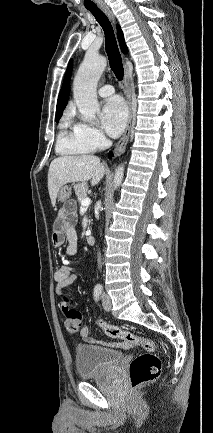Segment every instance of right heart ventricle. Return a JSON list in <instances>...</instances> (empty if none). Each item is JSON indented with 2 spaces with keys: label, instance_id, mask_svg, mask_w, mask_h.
Wrapping results in <instances>:
<instances>
[{
  "label": "right heart ventricle",
  "instance_id": "1",
  "mask_svg": "<svg viewBox=\"0 0 213 433\" xmlns=\"http://www.w3.org/2000/svg\"><path fill=\"white\" fill-rule=\"evenodd\" d=\"M56 150L62 155H84L91 153L93 147L78 131L77 125L65 120L57 138Z\"/></svg>",
  "mask_w": 213,
  "mask_h": 433
}]
</instances>
